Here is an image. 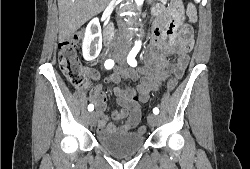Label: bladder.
<instances>
[{
  "instance_id": "bladder-1",
  "label": "bladder",
  "mask_w": 250,
  "mask_h": 169,
  "mask_svg": "<svg viewBox=\"0 0 250 169\" xmlns=\"http://www.w3.org/2000/svg\"><path fill=\"white\" fill-rule=\"evenodd\" d=\"M96 141L98 146L108 151L110 155L127 158L136 154L146 144V136L125 132L98 133Z\"/></svg>"
}]
</instances>
